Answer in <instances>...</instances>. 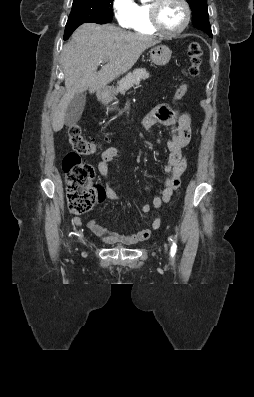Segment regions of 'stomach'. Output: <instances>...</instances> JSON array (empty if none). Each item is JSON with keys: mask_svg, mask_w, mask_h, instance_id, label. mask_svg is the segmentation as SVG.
<instances>
[{"mask_svg": "<svg viewBox=\"0 0 254 397\" xmlns=\"http://www.w3.org/2000/svg\"><path fill=\"white\" fill-rule=\"evenodd\" d=\"M151 61L158 66L166 65L171 58V50L165 45H158L149 51ZM99 98L102 102L108 103L112 100V95L110 92H102L99 95Z\"/></svg>", "mask_w": 254, "mask_h": 397, "instance_id": "0dacf381", "label": "stomach"}]
</instances>
